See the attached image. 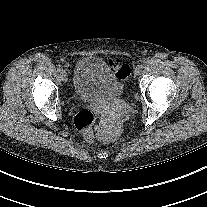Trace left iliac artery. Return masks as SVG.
I'll return each mask as SVG.
<instances>
[{
  "label": "left iliac artery",
  "instance_id": "44dca946",
  "mask_svg": "<svg viewBox=\"0 0 207 207\" xmlns=\"http://www.w3.org/2000/svg\"><path fill=\"white\" fill-rule=\"evenodd\" d=\"M146 65V62L145 61H142L141 63H140V66L141 67H144Z\"/></svg>",
  "mask_w": 207,
  "mask_h": 207
}]
</instances>
